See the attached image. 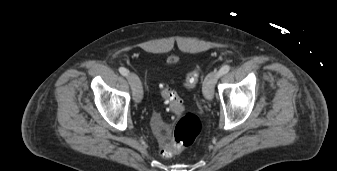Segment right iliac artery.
<instances>
[{
    "instance_id": "1",
    "label": "right iliac artery",
    "mask_w": 337,
    "mask_h": 171,
    "mask_svg": "<svg viewBox=\"0 0 337 171\" xmlns=\"http://www.w3.org/2000/svg\"><path fill=\"white\" fill-rule=\"evenodd\" d=\"M119 72H120L123 76H127L128 73H129V71H128L126 68H124V67H120V68H119Z\"/></svg>"
}]
</instances>
